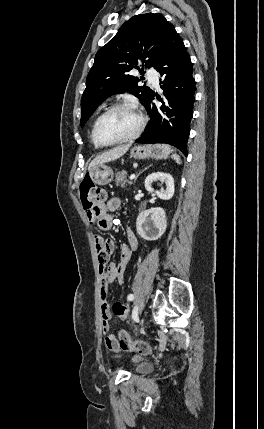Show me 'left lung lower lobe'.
I'll use <instances>...</instances> for the list:
<instances>
[{
    "label": "left lung lower lobe",
    "mask_w": 264,
    "mask_h": 429,
    "mask_svg": "<svg viewBox=\"0 0 264 429\" xmlns=\"http://www.w3.org/2000/svg\"><path fill=\"white\" fill-rule=\"evenodd\" d=\"M155 68L163 76L160 84L166 100L156 107L152 93L145 105L150 122L136 142L171 144L187 155L195 80L190 56L175 28L169 32Z\"/></svg>",
    "instance_id": "obj_1"
}]
</instances>
